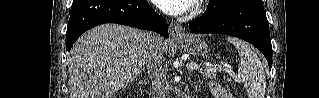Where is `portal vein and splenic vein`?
Segmentation results:
<instances>
[{
    "label": "portal vein and splenic vein",
    "instance_id": "18ae733b",
    "mask_svg": "<svg viewBox=\"0 0 319 98\" xmlns=\"http://www.w3.org/2000/svg\"><path fill=\"white\" fill-rule=\"evenodd\" d=\"M207 66L212 67L217 71L226 70L227 72L230 73L231 76H236L232 70H227L226 67H224L222 65H207ZM186 68L188 70H198L200 68V66L196 63H188V64H186Z\"/></svg>",
    "mask_w": 319,
    "mask_h": 98
}]
</instances>
